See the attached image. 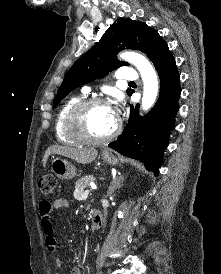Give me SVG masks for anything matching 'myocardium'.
<instances>
[{
	"mask_svg": "<svg viewBox=\"0 0 221 274\" xmlns=\"http://www.w3.org/2000/svg\"><path fill=\"white\" fill-rule=\"evenodd\" d=\"M110 105V102L102 97L85 98L77 102L68 112L66 117V129L70 136L82 143L103 144L112 140L120 129V122L116 120L114 128L103 137H93L85 129L84 120L87 112L94 106Z\"/></svg>",
	"mask_w": 221,
	"mask_h": 274,
	"instance_id": "obj_1",
	"label": "myocardium"
}]
</instances>
